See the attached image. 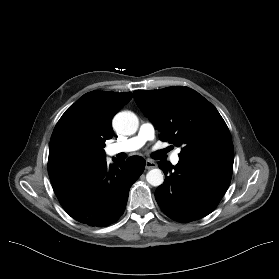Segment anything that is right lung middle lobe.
Here are the masks:
<instances>
[{"label":"right lung middle lobe","mask_w":279,"mask_h":279,"mask_svg":"<svg viewBox=\"0 0 279 279\" xmlns=\"http://www.w3.org/2000/svg\"><path fill=\"white\" fill-rule=\"evenodd\" d=\"M86 154L81 146L71 145L66 147L60 156V164L64 167H71L81 164Z\"/></svg>","instance_id":"right-lung-middle-lobe-1"}]
</instances>
